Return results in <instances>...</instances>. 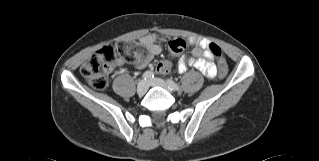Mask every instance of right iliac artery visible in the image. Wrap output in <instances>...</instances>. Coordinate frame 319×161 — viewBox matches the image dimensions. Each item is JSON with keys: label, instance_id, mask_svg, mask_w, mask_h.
I'll return each instance as SVG.
<instances>
[{"label": "right iliac artery", "instance_id": "right-iliac-artery-1", "mask_svg": "<svg viewBox=\"0 0 319 161\" xmlns=\"http://www.w3.org/2000/svg\"><path fill=\"white\" fill-rule=\"evenodd\" d=\"M142 78L144 80H151L154 78V73L152 71H146L143 73Z\"/></svg>", "mask_w": 319, "mask_h": 161}]
</instances>
